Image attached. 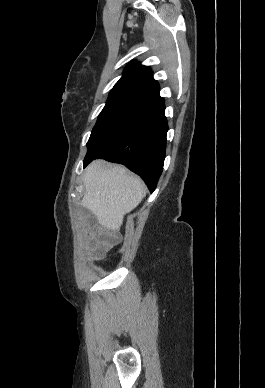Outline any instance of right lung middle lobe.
Here are the masks:
<instances>
[{
	"instance_id": "obj_1",
	"label": "right lung middle lobe",
	"mask_w": 265,
	"mask_h": 388,
	"mask_svg": "<svg viewBox=\"0 0 265 388\" xmlns=\"http://www.w3.org/2000/svg\"><path fill=\"white\" fill-rule=\"evenodd\" d=\"M148 103V101L134 96L109 94L106 105L99 114L97 123L87 142V154Z\"/></svg>"
}]
</instances>
